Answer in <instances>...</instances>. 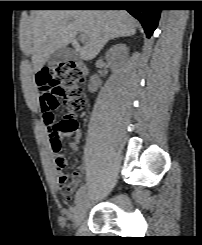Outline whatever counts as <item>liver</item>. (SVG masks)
<instances>
[{
	"label": "liver",
	"instance_id": "1",
	"mask_svg": "<svg viewBox=\"0 0 202 245\" xmlns=\"http://www.w3.org/2000/svg\"><path fill=\"white\" fill-rule=\"evenodd\" d=\"M86 35L83 47L76 40ZM136 33V21L123 10H36L20 33V46L39 71L57 49L72 44L83 60L95 58L114 38Z\"/></svg>",
	"mask_w": 202,
	"mask_h": 245
}]
</instances>
